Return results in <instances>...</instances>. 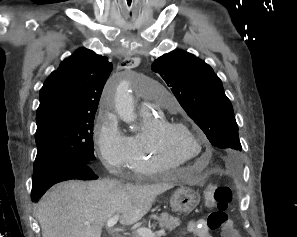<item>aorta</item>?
<instances>
[{
    "label": "aorta",
    "mask_w": 297,
    "mask_h": 237,
    "mask_svg": "<svg viewBox=\"0 0 297 237\" xmlns=\"http://www.w3.org/2000/svg\"><path fill=\"white\" fill-rule=\"evenodd\" d=\"M130 83L126 80H122L117 88L115 94V110L119 117L126 123H133L135 121L134 113V100L129 93ZM132 130H135V126L132 125Z\"/></svg>",
    "instance_id": "1"
}]
</instances>
